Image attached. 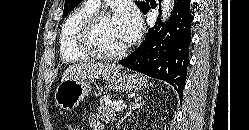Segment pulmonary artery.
I'll list each match as a JSON object with an SVG mask.
<instances>
[{
  "label": "pulmonary artery",
  "mask_w": 249,
  "mask_h": 130,
  "mask_svg": "<svg viewBox=\"0 0 249 130\" xmlns=\"http://www.w3.org/2000/svg\"><path fill=\"white\" fill-rule=\"evenodd\" d=\"M92 3L95 5L99 6L100 5V0H90Z\"/></svg>",
  "instance_id": "pulmonary-artery-1"
}]
</instances>
